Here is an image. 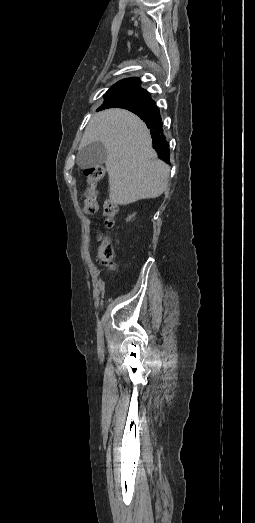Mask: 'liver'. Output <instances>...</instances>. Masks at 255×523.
Returning <instances> with one entry per match:
<instances>
[{
    "mask_svg": "<svg viewBox=\"0 0 255 523\" xmlns=\"http://www.w3.org/2000/svg\"><path fill=\"white\" fill-rule=\"evenodd\" d=\"M102 142L107 150L109 198L113 204H132L144 198H158L167 188L170 168L152 148L150 132L135 114L127 110H104L91 118L79 144Z\"/></svg>",
    "mask_w": 255,
    "mask_h": 523,
    "instance_id": "obj_1",
    "label": "liver"
}]
</instances>
